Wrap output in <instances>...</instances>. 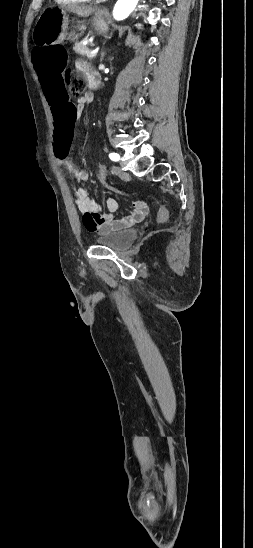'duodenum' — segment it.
<instances>
[{"instance_id": "duodenum-1", "label": "duodenum", "mask_w": 253, "mask_h": 548, "mask_svg": "<svg viewBox=\"0 0 253 548\" xmlns=\"http://www.w3.org/2000/svg\"><path fill=\"white\" fill-rule=\"evenodd\" d=\"M98 84H99V79H98V77H97L96 75L92 76V77L90 78V85H91V87H92V88H96V87L98 86Z\"/></svg>"}]
</instances>
